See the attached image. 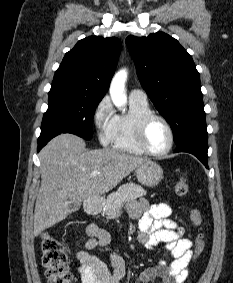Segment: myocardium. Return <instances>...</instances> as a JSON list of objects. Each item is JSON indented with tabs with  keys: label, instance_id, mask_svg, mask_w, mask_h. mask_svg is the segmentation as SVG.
Returning a JSON list of instances; mask_svg holds the SVG:
<instances>
[{
	"label": "myocardium",
	"instance_id": "f54148a6",
	"mask_svg": "<svg viewBox=\"0 0 233 283\" xmlns=\"http://www.w3.org/2000/svg\"><path fill=\"white\" fill-rule=\"evenodd\" d=\"M153 120L161 121L165 125L169 133V144L167 148L161 152L152 151L146 144V140H145L146 131H147L149 124ZM134 138L140 150H142L143 153L150 155V156L166 155L171 151L174 145V132H173L171 124L165 117H163L162 115L156 114L154 112L144 114L140 118H138V120L135 123V127H134Z\"/></svg>",
	"mask_w": 233,
	"mask_h": 283
}]
</instances>
